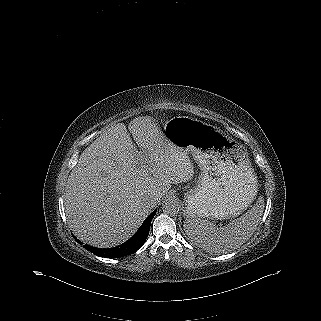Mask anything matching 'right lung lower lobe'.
I'll return each instance as SVG.
<instances>
[{
	"mask_svg": "<svg viewBox=\"0 0 321 321\" xmlns=\"http://www.w3.org/2000/svg\"><path fill=\"white\" fill-rule=\"evenodd\" d=\"M156 212L157 210H154L145 219V221L143 222L139 230L125 243L113 248H108V249L96 248L89 245H84V248H86L87 250H89L90 252L94 253L97 256L106 257V258H117V257H122L128 254H131L137 251L145 243L149 234L151 221L155 216ZM77 242L79 241L77 240Z\"/></svg>",
	"mask_w": 321,
	"mask_h": 321,
	"instance_id": "1",
	"label": "right lung lower lobe"
}]
</instances>
